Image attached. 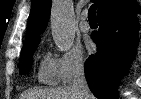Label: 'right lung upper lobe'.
<instances>
[{"label":"right lung upper lobe","instance_id":"cb5924a9","mask_svg":"<svg viewBox=\"0 0 141 99\" xmlns=\"http://www.w3.org/2000/svg\"><path fill=\"white\" fill-rule=\"evenodd\" d=\"M98 3L97 14L106 6L110 0H95ZM51 0H33L29 15L26 43L39 42V35L44 32L50 17Z\"/></svg>","mask_w":141,"mask_h":99}]
</instances>
